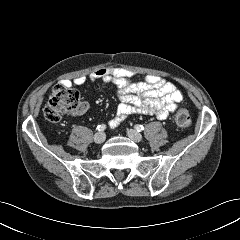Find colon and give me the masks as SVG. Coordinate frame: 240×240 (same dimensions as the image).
<instances>
[{
  "mask_svg": "<svg viewBox=\"0 0 240 240\" xmlns=\"http://www.w3.org/2000/svg\"><path fill=\"white\" fill-rule=\"evenodd\" d=\"M82 106L77 90L63 84L52 87L48 102L44 108V116L50 122H59L63 116L77 111ZM175 122L179 127H188L191 117L187 110L178 109L175 112Z\"/></svg>",
  "mask_w": 240,
  "mask_h": 240,
  "instance_id": "1",
  "label": "colon"
}]
</instances>
